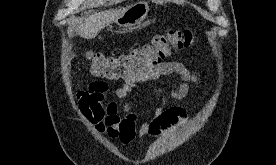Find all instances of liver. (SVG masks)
<instances>
[{"label": "liver", "instance_id": "liver-1", "mask_svg": "<svg viewBox=\"0 0 276 165\" xmlns=\"http://www.w3.org/2000/svg\"><path fill=\"white\" fill-rule=\"evenodd\" d=\"M130 7L131 6L98 11L92 14L90 12L86 13L87 17L80 20L75 29V33L83 38L92 39L96 37L102 29L115 22V20Z\"/></svg>", "mask_w": 276, "mask_h": 165}]
</instances>
